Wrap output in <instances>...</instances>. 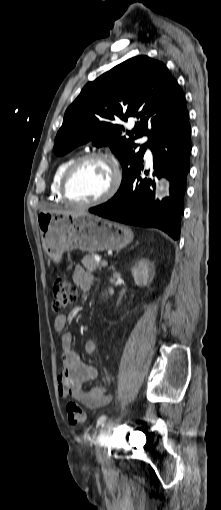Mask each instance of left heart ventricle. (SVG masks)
Segmentation results:
<instances>
[{"label": "left heart ventricle", "instance_id": "left-heart-ventricle-1", "mask_svg": "<svg viewBox=\"0 0 221 510\" xmlns=\"http://www.w3.org/2000/svg\"><path fill=\"white\" fill-rule=\"evenodd\" d=\"M112 181L113 172L109 164L102 160H89L76 169L68 190L74 200L89 202L105 194Z\"/></svg>", "mask_w": 221, "mask_h": 510}]
</instances>
